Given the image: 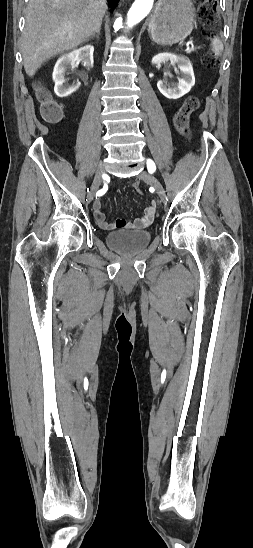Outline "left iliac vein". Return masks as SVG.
I'll list each match as a JSON object with an SVG mask.
<instances>
[{"instance_id":"left-iliac-vein-1","label":"left iliac vein","mask_w":253,"mask_h":548,"mask_svg":"<svg viewBox=\"0 0 253 548\" xmlns=\"http://www.w3.org/2000/svg\"><path fill=\"white\" fill-rule=\"evenodd\" d=\"M139 178L146 181L152 187H154V189L156 190V192L158 193L160 198L164 199V196H165L164 188H163L162 184L160 183V181L155 176L147 173L146 171H142L139 174Z\"/></svg>"}]
</instances>
